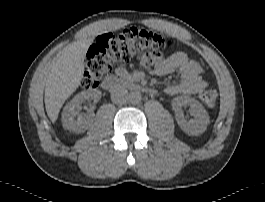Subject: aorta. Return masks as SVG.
<instances>
[{
    "instance_id": "762f6f07",
    "label": "aorta",
    "mask_w": 265,
    "mask_h": 202,
    "mask_svg": "<svg viewBox=\"0 0 265 202\" xmlns=\"http://www.w3.org/2000/svg\"><path fill=\"white\" fill-rule=\"evenodd\" d=\"M142 99V95L139 91H132L129 93V102L131 104H138Z\"/></svg>"
}]
</instances>
